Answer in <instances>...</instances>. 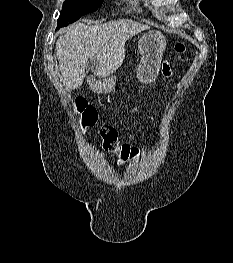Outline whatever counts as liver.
<instances>
[{
  "mask_svg": "<svg viewBox=\"0 0 233 263\" xmlns=\"http://www.w3.org/2000/svg\"><path fill=\"white\" fill-rule=\"evenodd\" d=\"M146 29L148 26L131 19L93 26L77 23L67 27L56 41L59 69L66 87L78 89L82 85L88 59L94 62L95 75H111L125 59L126 41Z\"/></svg>",
  "mask_w": 233,
  "mask_h": 263,
  "instance_id": "6515ba94",
  "label": "liver"
}]
</instances>
